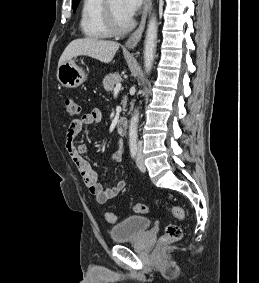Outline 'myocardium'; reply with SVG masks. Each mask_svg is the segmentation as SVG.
Here are the masks:
<instances>
[{"mask_svg": "<svg viewBox=\"0 0 259 283\" xmlns=\"http://www.w3.org/2000/svg\"><path fill=\"white\" fill-rule=\"evenodd\" d=\"M103 13L107 28L111 34L122 35L132 29L134 24L132 20H129L125 25L119 24L112 9L111 0H104Z\"/></svg>", "mask_w": 259, "mask_h": 283, "instance_id": "1", "label": "myocardium"}]
</instances>
